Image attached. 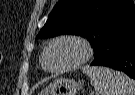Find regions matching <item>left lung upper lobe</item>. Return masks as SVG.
<instances>
[{
  "label": "left lung upper lobe",
  "mask_w": 135,
  "mask_h": 95,
  "mask_svg": "<svg viewBox=\"0 0 135 95\" xmlns=\"http://www.w3.org/2000/svg\"><path fill=\"white\" fill-rule=\"evenodd\" d=\"M134 20L133 0H60L36 38L80 35L90 42L95 54L109 34Z\"/></svg>",
  "instance_id": "left-lung-upper-lobe-1"
}]
</instances>
